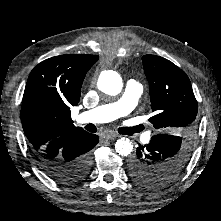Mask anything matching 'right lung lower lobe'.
Segmentation results:
<instances>
[{
  "label": "right lung lower lobe",
  "instance_id": "obj_1",
  "mask_svg": "<svg viewBox=\"0 0 221 221\" xmlns=\"http://www.w3.org/2000/svg\"><path fill=\"white\" fill-rule=\"evenodd\" d=\"M99 137L88 132L60 137L38 151H33L42 170L61 183L76 182L85 177L90 168V150Z\"/></svg>",
  "mask_w": 221,
  "mask_h": 221
}]
</instances>
